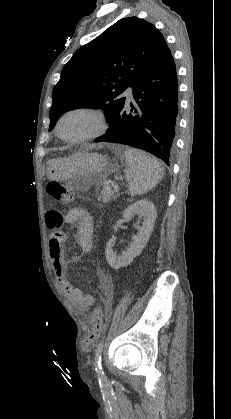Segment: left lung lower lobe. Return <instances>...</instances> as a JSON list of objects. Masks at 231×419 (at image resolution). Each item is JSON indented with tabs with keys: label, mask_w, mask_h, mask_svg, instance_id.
<instances>
[{
	"label": "left lung lower lobe",
	"mask_w": 231,
	"mask_h": 419,
	"mask_svg": "<svg viewBox=\"0 0 231 419\" xmlns=\"http://www.w3.org/2000/svg\"><path fill=\"white\" fill-rule=\"evenodd\" d=\"M136 107L126 114L125 103L109 123L107 133L95 141L121 143L144 149L167 165L174 149L178 113V83L171 51L133 86Z\"/></svg>",
	"instance_id": "left-lung-lower-lobe-1"
}]
</instances>
